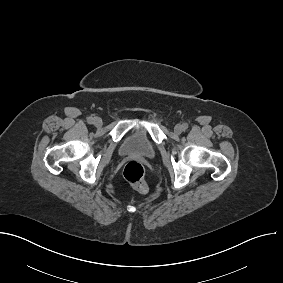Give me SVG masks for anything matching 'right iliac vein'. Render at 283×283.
I'll use <instances>...</instances> for the list:
<instances>
[{
	"instance_id": "1",
	"label": "right iliac vein",
	"mask_w": 283,
	"mask_h": 283,
	"mask_svg": "<svg viewBox=\"0 0 283 283\" xmlns=\"http://www.w3.org/2000/svg\"><path fill=\"white\" fill-rule=\"evenodd\" d=\"M93 124L96 126V127H101L102 124H103V121L100 117H95L94 120H93Z\"/></svg>"
}]
</instances>
